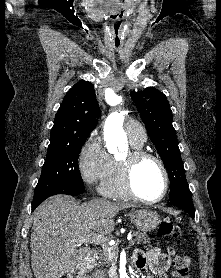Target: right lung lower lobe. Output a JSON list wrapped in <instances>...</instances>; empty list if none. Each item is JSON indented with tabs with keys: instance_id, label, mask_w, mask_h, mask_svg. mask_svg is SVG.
Instances as JSON below:
<instances>
[{
	"instance_id": "obj_1",
	"label": "right lung lower lobe",
	"mask_w": 221,
	"mask_h": 278,
	"mask_svg": "<svg viewBox=\"0 0 221 278\" xmlns=\"http://www.w3.org/2000/svg\"><path fill=\"white\" fill-rule=\"evenodd\" d=\"M84 193V189L77 188V187H70V186H61L57 187L51 191H49L45 196H43L39 200H33L32 203V211L45 199L50 196L57 195V194H67V195H78Z\"/></svg>"
}]
</instances>
